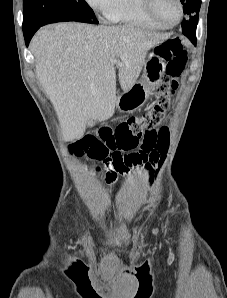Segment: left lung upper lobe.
<instances>
[{
    "label": "left lung upper lobe",
    "mask_w": 227,
    "mask_h": 298,
    "mask_svg": "<svg viewBox=\"0 0 227 298\" xmlns=\"http://www.w3.org/2000/svg\"><path fill=\"white\" fill-rule=\"evenodd\" d=\"M183 4L185 14L190 17L184 19L181 26L183 34L188 37L191 42H196V27L198 23V13L201 6V0H180Z\"/></svg>",
    "instance_id": "left-lung-upper-lobe-1"
}]
</instances>
